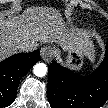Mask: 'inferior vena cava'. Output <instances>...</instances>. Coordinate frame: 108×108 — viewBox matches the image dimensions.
Listing matches in <instances>:
<instances>
[{"mask_svg":"<svg viewBox=\"0 0 108 108\" xmlns=\"http://www.w3.org/2000/svg\"><path fill=\"white\" fill-rule=\"evenodd\" d=\"M19 50L23 51V52H30V51L35 50V48L33 46H31V45L26 44V45H21L19 47Z\"/></svg>","mask_w":108,"mask_h":108,"instance_id":"602c4592","label":"inferior vena cava"}]
</instances>
